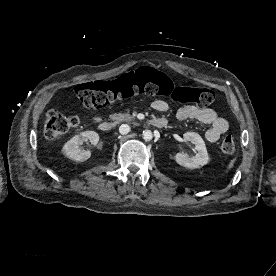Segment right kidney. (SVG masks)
<instances>
[{
	"label": "right kidney",
	"instance_id": "right-kidney-1",
	"mask_svg": "<svg viewBox=\"0 0 276 276\" xmlns=\"http://www.w3.org/2000/svg\"><path fill=\"white\" fill-rule=\"evenodd\" d=\"M88 140L93 145H96L99 141V135L95 131H84L75 135L64 144L62 148L63 154L76 162H84L88 160L91 156V152L89 150H81L79 148L84 141Z\"/></svg>",
	"mask_w": 276,
	"mask_h": 276
}]
</instances>
